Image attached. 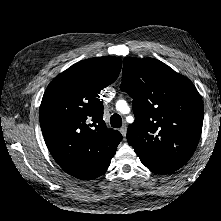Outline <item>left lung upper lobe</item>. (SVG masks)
I'll return each mask as SVG.
<instances>
[{
	"label": "left lung upper lobe",
	"mask_w": 221,
	"mask_h": 221,
	"mask_svg": "<svg viewBox=\"0 0 221 221\" xmlns=\"http://www.w3.org/2000/svg\"><path fill=\"white\" fill-rule=\"evenodd\" d=\"M120 88L132 98L127 140L137 155L184 166L202 131L203 103L193 83L153 58L126 57Z\"/></svg>",
	"instance_id": "obj_1"
}]
</instances>
